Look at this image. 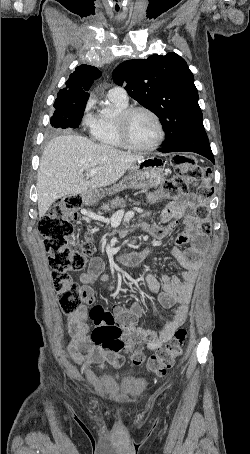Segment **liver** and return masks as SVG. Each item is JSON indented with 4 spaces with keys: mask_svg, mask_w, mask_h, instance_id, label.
<instances>
[{
    "mask_svg": "<svg viewBox=\"0 0 250 454\" xmlns=\"http://www.w3.org/2000/svg\"><path fill=\"white\" fill-rule=\"evenodd\" d=\"M142 156L100 145L79 135H62L45 147L37 173L39 217L59 198L116 183ZM97 169L90 180L84 172Z\"/></svg>",
    "mask_w": 250,
    "mask_h": 454,
    "instance_id": "liver-1",
    "label": "liver"
}]
</instances>
